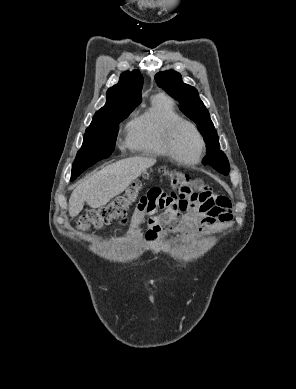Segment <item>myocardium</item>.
Returning a JSON list of instances; mask_svg holds the SVG:
<instances>
[{"mask_svg":"<svg viewBox=\"0 0 296 389\" xmlns=\"http://www.w3.org/2000/svg\"><path fill=\"white\" fill-rule=\"evenodd\" d=\"M182 126H188L189 128H191L199 141V153H198L197 157L193 160H186V159L181 158L180 156H178V154L176 153V150H175V146H174L175 135H176V132L178 131V129ZM164 147H165L167 154L175 161H177L181 164L194 165V164H197L201 161V159L204 155L205 149H206V143H205V139H204L201 131L199 130V128L197 127L196 124H194L193 122H191L189 120H186L183 118H178V119L171 121L166 127V130L164 133Z\"/></svg>","mask_w":296,"mask_h":389,"instance_id":"f54148a6","label":"myocardium"}]
</instances>
